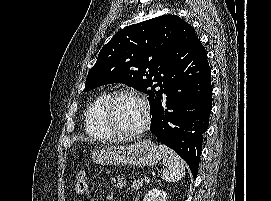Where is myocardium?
Wrapping results in <instances>:
<instances>
[{
    "instance_id": "obj_1",
    "label": "myocardium",
    "mask_w": 271,
    "mask_h": 201,
    "mask_svg": "<svg viewBox=\"0 0 271 201\" xmlns=\"http://www.w3.org/2000/svg\"><path fill=\"white\" fill-rule=\"evenodd\" d=\"M123 96H130L135 99H137L143 106L144 112H145V119L143 124L134 131H125L120 129L113 117V107L115 102ZM103 118L107 124V126L111 129V131L120 137H136L144 132H146L149 127L151 126L152 122V114L151 109L149 106V103L147 99L138 91L133 89H120L115 92H113L111 95H109L108 99L106 100L104 107H103Z\"/></svg>"
}]
</instances>
